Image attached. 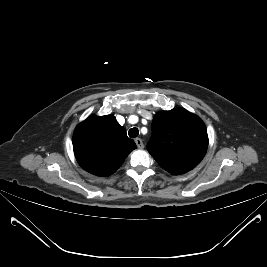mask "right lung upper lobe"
<instances>
[{
    "label": "right lung upper lobe",
    "instance_id": "obj_1",
    "mask_svg": "<svg viewBox=\"0 0 267 267\" xmlns=\"http://www.w3.org/2000/svg\"><path fill=\"white\" fill-rule=\"evenodd\" d=\"M136 144L112 115L90 116L73 134V149L80 166L97 176H110Z\"/></svg>",
    "mask_w": 267,
    "mask_h": 267
}]
</instances>
